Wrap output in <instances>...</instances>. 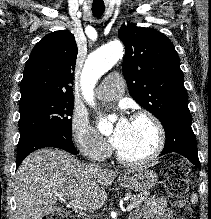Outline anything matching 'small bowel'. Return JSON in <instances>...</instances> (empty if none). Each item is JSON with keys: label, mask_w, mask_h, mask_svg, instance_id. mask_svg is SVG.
Returning <instances> with one entry per match:
<instances>
[{"label": "small bowel", "mask_w": 211, "mask_h": 219, "mask_svg": "<svg viewBox=\"0 0 211 219\" xmlns=\"http://www.w3.org/2000/svg\"><path fill=\"white\" fill-rule=\"evenodd\" d=\"M131 219H170L166 202L162 198H153L149 205L139 209Z\"/></svg>", "instance_id": "1"}]
</instances>
